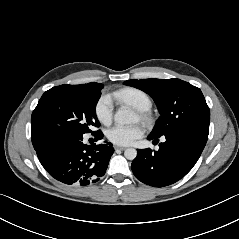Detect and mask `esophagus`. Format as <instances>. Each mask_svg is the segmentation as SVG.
<instances>
[{"label":"esophagus","instance_id":"1","mask_svg":"<svg viewBox=\"0 0 239 239\" xmlns=\"http://www.w3.org/2000/svg\"><path fill=\"white\" fill-rule=\"evenodd\" d=\"M125 149H126L125 147L115 146V150H121V151H123V150H125Z\"/></svg>","mask_w":239,"mask_h":239}]
</instances>
